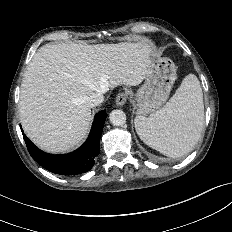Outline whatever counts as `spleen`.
I'll return each instance as SVG.
<instances>
[{
    "label": "spleen",
    "instance_id": "obj_1",
    "mask_svg": "<svg viewBox=\"0 0 232 232\" xmlns=\"http://www.w3.org/2000/svg\"><path fill=\"white\" fill-rule=\"evenodd\" d=\"M204 125L203 94L194 74H188L167 104L149 117L137 116L135 128L149 147L171 158L189 153Z\"/></svg>",
    "mask_w": 232,
    "mask_h": 232
}]
</instances>
